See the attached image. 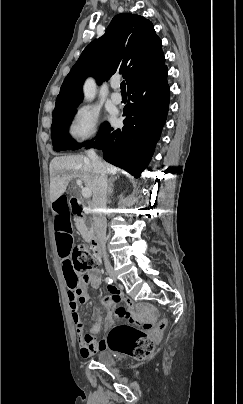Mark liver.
I'll return each mask as SVG.
<instances>
[{
    "label": "liver",
    "mask_w": 243,
    "mask_h": 404,
    "mask_svg": "<svg viewBox=\"0 0 243 404\" xmlns=\"http://www.w3.org/2000/svg\"><path fill=\"white\" fill-rule=\"evenodd\" d=\"M106 174L115 176L120 172L115 166L104 162ZM50 200L55 202L67 190V186L73 178H80L86 188L93 190L92 164L86 156H61L53 158L50 162Z\"/></svg>",
    "instance_id": "obj_1"
}]
</instances>
